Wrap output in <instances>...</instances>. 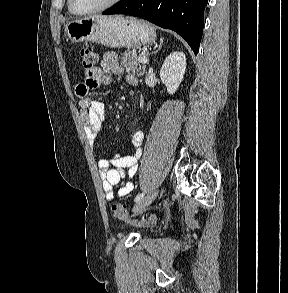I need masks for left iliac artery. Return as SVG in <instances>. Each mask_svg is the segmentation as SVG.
I'll return each mask as SVG.
<instances>
[{"mask_svg": "<svg viewBox=\"0 0 288 293\" xmlns=\"http://www.w3.org/2000/svg\"><path fill=\"white\" fill-rule=\"evenodd\" d=\"M145 193H140L135 197V202L140 201L144 197Z\"/></svg>", "mask_w": 288, "mask_h": 293, "instance_id": "44dca946", "label": "left iliac artery"}]
</instances>
